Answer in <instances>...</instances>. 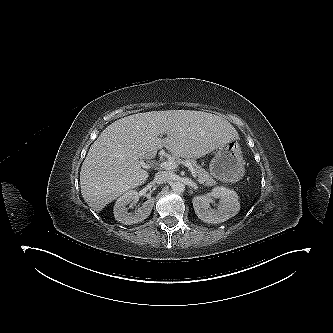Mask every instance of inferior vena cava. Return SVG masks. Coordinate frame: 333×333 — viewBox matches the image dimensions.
<instances>
[{"label":"inferior vena cava","mask_w":333,"mask_h":333,"mask_svg":"<svg viewBox=\"0 0 333 333\" xmlns=\"http://www.w3.org/2000/svg\"><path fill=\"white\" fill-rule=\"evenodd\" d=\"M171 180V174L166 171H160L155 174L154 182L157 184L167 183Z\"/></svg>","instance_id":"602c4592"}]
</instances>
